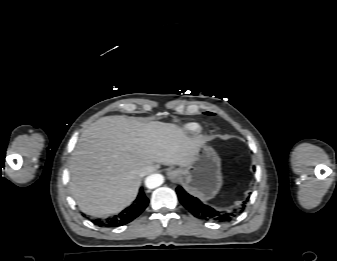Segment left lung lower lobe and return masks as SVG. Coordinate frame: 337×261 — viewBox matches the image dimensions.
Masks as SVG:
<instances>
[{"mask_svg": "<svg viewBox=\"0 0 337 261\" xmlns=\"http://www.w3.org/2000/svg\"><path fill=\"white\" fill-rule=\"evenodd\" d=\"M176 192L182 205L195 217L205 221L228 222L243 212L245 204L233 210H218L203 204L199 199L189 195L182 187H177Z\"/></svg>", "mask_w": 337, "mask_h": 261, "instance_id": "1", "label": "left lung lower lobe"}]
</instances>
